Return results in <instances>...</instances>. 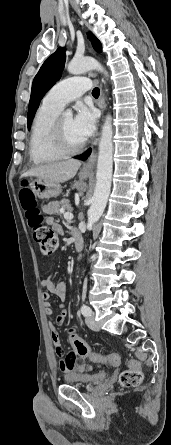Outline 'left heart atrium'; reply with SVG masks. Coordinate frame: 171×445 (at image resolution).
<instances>
[{"label": "left heart atrium", "mask_w": 171, "mask_h": 445, "mask_svg": "<svg viewBox=\"0 0 171 445\" xmlns=\"http://www.w3.org/2000/svg\"><path fill=\"white\" fill-rule=\"evenodd\" d=\"M73 126L83 140L90 137L96 127V114L92 108L80 105L73 118Z\"/></svg>", "instance_id": "left-heart-atrium-1"}]
</instances>
